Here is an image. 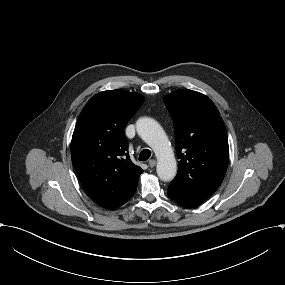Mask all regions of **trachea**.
Segmentation results:
<instances>
[{
    "label": "trachea",
    "instance_id": "obj_1",
    "mask_svg": "<svg viewBox=\"0 0 285 285\" xmlns=\"http://www.w3.org/2000/svg\"><path fill=\"white\" fill-rule=\"evenodd\" d=\"M150 156H151V151L148 149H144L141 151V153L139 155V160L140 161H146Z\"/></svg>",
    "mask_w": 285,
    "mask_h": 285
}]
</instances>
